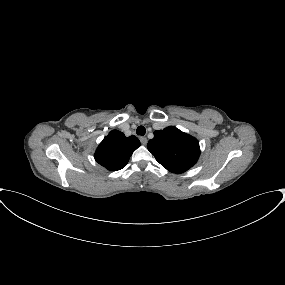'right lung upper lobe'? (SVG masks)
Listing matches in <instances>:
<instances>
[{
    "instance_id": "cb5924a9",
    "label": "right lung upper lobe",
    "mask_w": 285,
    "mask_h": 285,
    "mask_svg": "<svg viewBox=\"0 0 285 285\" xmlns=\"http://www.w3.org/2000/svg\"><path fill=\"white\" fill-rule=\"evenodd\" d=\"M139 146L137 137H125L122 132L113 130L98 146L95 160L110 171L120 170L127 165L133 151Z\"/></svg>"
}]
</instances>
